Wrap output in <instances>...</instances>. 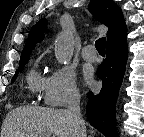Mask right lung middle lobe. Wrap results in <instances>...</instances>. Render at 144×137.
I'll use <instances>...</instances> for the list:
<instances>
[{
    "label": "right lung middle lobe",
    "mask_w": 144,
    "mask_h": 137,
    "mask_svg": "<svg viewBox=\"0 0 144 137\" xmlns=\"http://www.w3.org/2000/svg\"><path fill=\"white\" fill-rule=\"evenodd\" d=\"M25 64H26V62L20 63L19 68L21 69V67H23ZM17 76H18V71H16L15 75L13 76L12 81H11L12 83L15 81Z\"/></svg>",
    "instance_id": "right-lung-middle-lobe-1"
}]
</instances>
